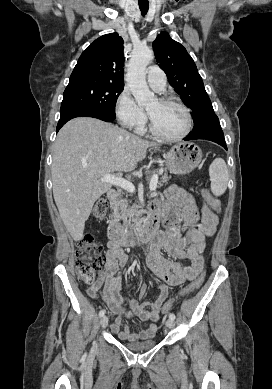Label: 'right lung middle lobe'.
I'll list each match as a JSON object with an SVG mask.
<instances>
[{
  "label": "right lung middle lobe",
  "instance_id": "right-lung-middle-lobe-1",
  "mask_svg": "<svg viewBox=\"0 0 272 389\" xmlns=\"http://www.w3.org/2000/svg\"><path fill=\"white\" fill-rule=\"evenodd\" d=\"M124 85L83 81L70 83L63 94V105H85L115 116V104Z\"/></svg>",
  "mask_w": 272,
  "mask_h": 389
}]
</instances>
